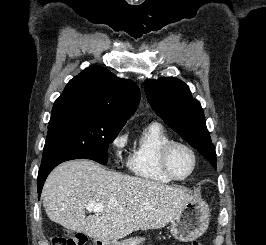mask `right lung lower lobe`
<instances>
[{
    "instance_id": "right-lung-lower-lobe-1",
    "label": "right lung lower lobe",
    "mask_w": 266,
    "mask_h": 245,
    "mask_svg": "<svg viewBox=\"0 0 266 245\" xmlns=\"http://www.w3.org/2000/svg\"><path fill=\"white\" fill-rule=\"evenodd\" d=\"M72 159L73 158L71 157H58L41 164L37 179L38 197H40L44 182L52 169L55 168L58 164Z\"/></svg>"
}]
</instances>
